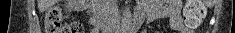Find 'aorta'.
Wrapping results in <instances>:
<instances>
[{"label": "aorta", "instance_id": "762f6f07", "mask_svg": "<svg viewBox=\"0 0 235 33\" xmlns=\"http://www.w3.org/2000/svg\"><path fill=\"white\" fill-rule=\"evenodd\" d=\"M130 21H131V11H130V7L127 6L124 9L123 15H122V27H123V30H126L129 27Z\"/></svg>", "mask_w": 235, "mask_h": 33}]
</instances>
